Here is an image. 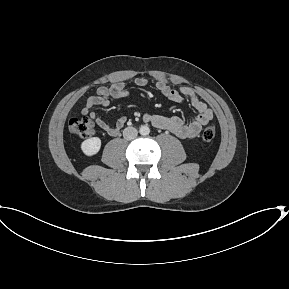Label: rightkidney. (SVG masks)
<instances>
[{
	"label": "right kidney",
	"mask_w": 289,
	"mask_h": 289,
	"mask_svg": "<svg viewBox=\"0 0 289 289\" xmlns=\"http://www.w3.org/2000/svg\"><path fill=\"white\" fill-rule=\"evenodd\" d=\"M101 140L98 137H92L82 142L81 150L87 156H93L99 152Z\"/></svg>",
	"instance_id": "1"
}]
</instances>
